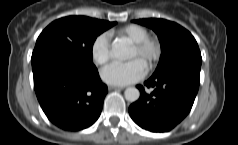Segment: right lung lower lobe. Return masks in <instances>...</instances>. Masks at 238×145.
<instances>
[{
	"instance_id": "obj_1",
	"label": "right lung lower lobe",
	"mask_w": 238,
	"mask_h": 145,
	"mask_svg": "<svg viewBox=\"0 0 238 145\" xmlns=\"http://www.w3.org/2000/svg\"><path fill=\"white\" fill-rule=\"evenodd\" d=\"M32 70L39 104L58 128L79 131L98 119L108 89L95 66L54 55L32 60Z\"/></svg>"
}]
</instances>
